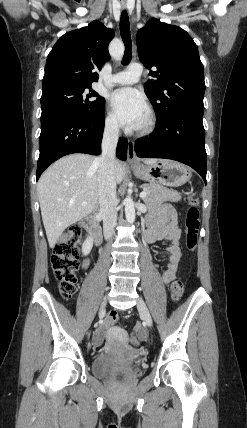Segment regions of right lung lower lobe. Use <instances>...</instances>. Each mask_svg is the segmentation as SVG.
I'll return each instance as SVG.
<instances>
[{"label":"right lung lower lobe","mask_w":247,"mask_h":428,"mask_svg":"<svg viewBox=\"0 0 247 428\" xmlns=\"http://www.w3.org/2000/svg\"><path fill=\"white\" fill-rule=\"evenodd\" d=\"M104 130V109L95 117L57 112L41 116L40 155L37 180L43 171L62 156L72 153L99 155ZM117 157L127 158V141L120 138Z\"/></svg>","instance_id":"right-lung-lower-lobe-1"}]
</instances>
